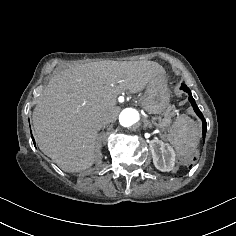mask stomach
Masks as SVG:
<instances>
[{"label": "stomach", "mask_w": 236, "mask_h": 236, "mask_svg": "<svg viewBox=\"0 0 236 236\" xmlns=\"http://www.w3.org/2000/svg\"><path fill=\"white\" fill-rule=\"evenodd\" d=\"M170 102V94L167 84L163 80H155L148 83L142 98L143 107L152 114L163 112Z\"/></svg>", "instance_id": "stomach-1"}]
</instances>
